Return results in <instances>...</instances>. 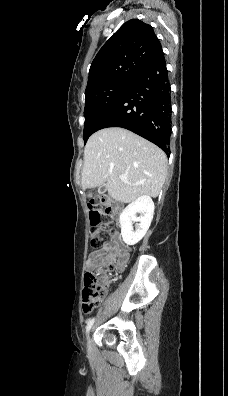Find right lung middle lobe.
I'll return each mask as SVG.
<instances>
[{
	"label": "right lung middle lobe",
	"mask_w": 228,
	"mask_h": 396,
	"mask_svg": "<svg viewBox=\"0 0 228 396\" xmlns=\"http://www.w3.org/2000/svg\"><path fill=\"white\" fill-rule=\"evenodd\" d=\"M127 82H114L99 86L85 92L84 109V142L96 132L100 120L117 103L122 94L129 87Z\"/></svg>",
	"instance_id": "right-lung-middle-lobe-1"
}]
</instances>
